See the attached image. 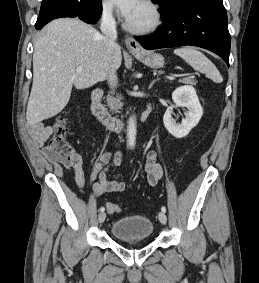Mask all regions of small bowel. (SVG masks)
Segmentation results:
<instances>
[{"instance_id": "obj_1", "label": "small bowel", "mask_w": 259, "mask_h": 283, "mask_svg": "<svg viewBox=\"0 0 259 283\" xmlns=\"http://www.w3.org/2000/svg\"><path fill=\"white\" fill-rule=\"evenodd\" d=\"M28 133L34 143V146L41 148L53 133V126H45L43 122L32 123L28 128ZM122 153L111 155L104 152L100 155L99 162L93 167L88 176H85L82 163L73 166L76 183L80 189L89 187L96 196H102L111 192H122L127 184L124 181L111 180L107 177V172L120 165ZM145 170L147 172V181L151 186H155L162 178L163 170L157 160V154L154 151L148 152L146 156ZM97 182H94L95 180Z\"/></svg>"}]
</instances>
